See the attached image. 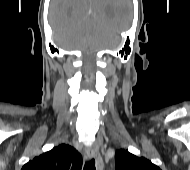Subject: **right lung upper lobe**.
<instances>
[{"mask_svg":"<svg viewBox=\"0 0 190 170\" xmlns=\"http://www.w3.org/2000/svg\"><path fill=\"white\" fill-rule=\"evenodd\" d=\"M82 156L70 145L61 144L35 157L21 170H81Z\"/></svg>","mask_w":190,"mask_h":170,"instance_id":"obj_1","label":"right lung upper lobe"}]
</instances>
